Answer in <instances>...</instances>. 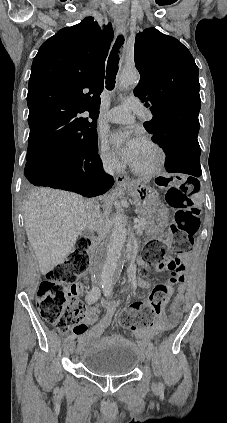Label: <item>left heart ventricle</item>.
<instances>
[{
  "mask_svg": "<svg viewBox=\"0 0 227 423\" xmlns=\"http://www.w3.org/2000/svg\"><path fill=\"white\" fill-rule=\"evenodd\" d=\"M157 159V151L153 147L144 144L139 150L136 162L133 166L143 170L149 169L156 164Z\"/></svg>",
  "mask_w": 227,
  "mask_h": 423,
  "instance_id": "b2bd125f",
  "label": "left heart ventricle"
}]
</instances>
